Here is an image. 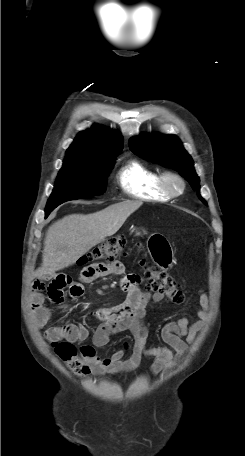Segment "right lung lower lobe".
I'll list each match as a JSON object with an SVG mask.
<instances>
[{
  "label": "right lung lower lobe",
  "mask_w": 245,
  "mask_h": 456,
  "mask_svg": "<svg viewBox=\"0 0 245 456\" xmlns=\"http://www.w3.org/2000/svg\"><path fill=\"white\" fill-rule=\"evenodd\" d=\"M50 212H51V211L45 213L46 217L50 214Z\"/></svg>",
  "instance_id": "obj_1"
}]
</instances>
